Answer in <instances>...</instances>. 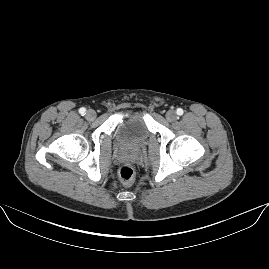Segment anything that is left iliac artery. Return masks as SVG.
Returning a JSON list of instances; mask_svg holds the SVG:
<instances>
[{
	"mask_svg": "<svg viewBox=\"0 0 269 269\" xmlns=\"http://www.w3.org/2000/svg\"><path fill=\"white\" fill-rule=\"evenodd\" d=\"M176 113H177V115L181 116L183 114V109L178 108Z\"/></svg>",
	"mask_w": 269,
	"mask_h": 269,
	"instance_id": "1",
	"label": "left iliac artery"
}]
</instances>
